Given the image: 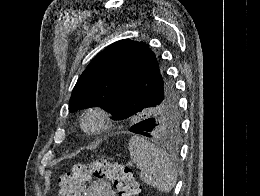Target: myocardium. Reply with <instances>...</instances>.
I'll list each match as a JSON object with an SVG mask.
<instances>
[{"mask_svg": "<svg viewBox=\"0 0 260 196\" xmlns=\"http://www.w3.org/2000/svg\"><path fill=\"white\" fill-rule=\"evenodd\" d=\"M82 117L84 120V124L82 125L81 129L85 134L89 136L99 135L105 132L109 128V125L111 123L110 113L106 109L98 106H91L85 109ZM90 117H95L97 121L96 125L92 128L87 127L85 124L86 120Z\"/></svg>", "mask_w": 260, "mask_h": 196, "instance_id": "1", "label": "myocardium"}]
</instances>
